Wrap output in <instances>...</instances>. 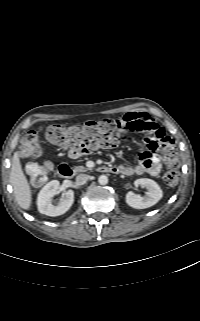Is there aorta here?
Segmentation results:
<instances>
[{"label":"aorta","mask_w":200,"mask_h":321,"mask_svg":"<svg viewBox=\"0 0 200 321\" xmlns=\"http://www.w3.org/2000/svg\"><path fill=\"white\" fill-rule=\"evenodd\" d=\"M98 182L101 185H106L108 183V177L106 175H100L98 178Z\"/></svg>","instance_id":"762f6f07"}]
</instances>
